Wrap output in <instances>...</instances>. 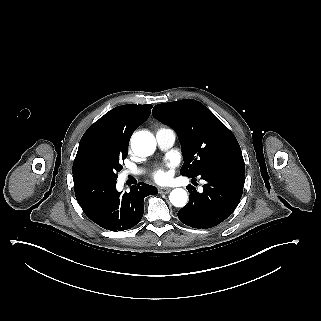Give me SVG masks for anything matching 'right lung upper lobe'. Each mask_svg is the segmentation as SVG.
<instances>
[{"instance_id":"1","label":"right lung upper lobe","mask_w":321,"mask_h":321,"mask_svg":"<svg viewBox=\"0 0 321 321\" xmlns=\"http://www.w3.org/2000/svg\"><path fill=\"white\" fill-rule=\"evenodd\" d=\"M151 108L152 105L115 107L91 125L86 132L103 130L113 142H129L134 130L149 117Z\"/></svg>"}]
</instances>
